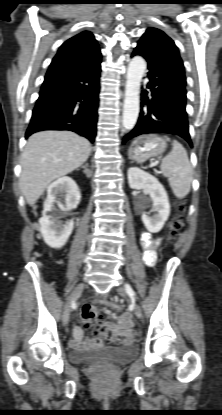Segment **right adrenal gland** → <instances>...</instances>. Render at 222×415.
<instances>
[{
  "mask_svg": "<svg viewBox=\"0 0 222 415\" xmlns=\"http://www.w3.org/2000/svg\"><path fill=\"white\" fill-rule=\"evenodd\" d=\"M82 168H84V172L88 175L89 174L88 164L83 165Z\"/></svg>",
  "mask_w": 222,
  "mask_h": 415,
  "instance_id": "1",
  "label": "right adrenal gland"
}]
</instances>
